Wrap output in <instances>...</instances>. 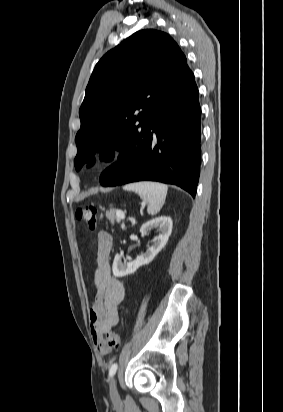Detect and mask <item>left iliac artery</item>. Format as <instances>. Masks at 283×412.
<instances>
[{"label":"left iliac artery","instance_id":"left-iliac-artery-1","mask_svg":"<svg viewBox=\"0 0 283 412\" xmlns=\"http://www.w3.org/2000/svg\"><path fill=\"white\" fill-rule=\"evenodd\" d=\"M118 365L117 363H114L111 365L110 369H109V376L112 377L115 375L116 371H117Z\"/></svg>","mask_w":283,"mask_h":412}]
</instances>
